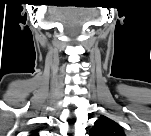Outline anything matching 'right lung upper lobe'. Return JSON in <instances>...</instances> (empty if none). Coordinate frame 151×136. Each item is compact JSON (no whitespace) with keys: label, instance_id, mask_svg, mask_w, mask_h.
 <instances>
[{"label":"right lung upper lobe","instance_id":"obj_1","mask_svg":"<svg viewBox=\"0 0 151 136\" xmlns=\"http://www.w3.org/2000/svg\"><path fill=\"white\" fill-rule=\"evenodd\" d=\"M37 132H38V130L33 131V136H36Z\"/></svg>","mask_w":151,"mask_h":136}]
</instances>
